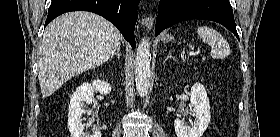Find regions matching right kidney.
Here are the masks:
<instances>
[{"mask_svg": "<svg viewBox=\"0 0 280 137\" xmlns=\"http://www.w3.org/2000/svg\"><path fill=\"white\" fill-rule=\"evenodd\" d=\"M111 90V85L108 82L99 79L94 80L92 83H83L77 87L71 96L69 104L68 129L71 137H89L84 133L85 124H83L82 115L85 110L83 107L85 103H92L94 91L108 95ZM90 137H101V132L93 129V135H90Z\"/></svg>", "mask_w": 280, "mask_h": 137, "instance_id": "obj_1", "label": "right kidney"}]
</instances>
